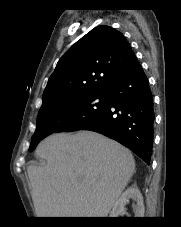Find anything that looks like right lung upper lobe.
<instances>
[{
  "label": "right lung upper lobe",
  "mask_w": 181,
  "mask_h": 227,
  "mask_svg": "<svg viewBox=\"0 0 181 227\" xmlns=\"http://www.w3.org/2000/svg\"><path fill=\"white\" fill-rule=\"evenodd\" d=\"M135 58L122 33L98 26L58 61L43 93L44 109L61 101L108 90Z\"/></svg>",
  "instance_id": "right-lung-upper-lobe-1"
}]
</instances>
